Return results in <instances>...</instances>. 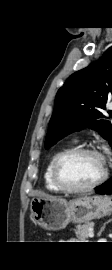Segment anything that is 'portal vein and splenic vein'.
<instances>
[{"label":"portal vein and splenic vein","mask_w":112,"mask_h":270,"mask_svg":"<svg viewBox=\"0 0 112 270\" xmlns=\"http://www.w3.org/2000/svg\"><path fill=\"white\" fill-rule=\"evenodd\" d=\"M88 236H89L90 238H93V237H94V233H93V231H92V230H90V232H89Z\"/></svg>","instance_id":"18ae733b"}]
</instances>
